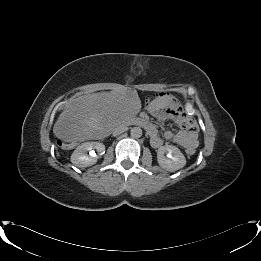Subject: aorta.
I'll return each mask as SVG.
<instances>
[{"label":"aorta","mask_w":261,"mask_h":261,"mask_svg":"<svg viewBox=\"0 0 261 261\" xmlns=\"http://www.w3.org/2000/svg\"><path fill=\"white\" fill-rule=\"evenodd\" d=\"M130 135L132 138H140L142 136V129L140 127H133L130 130Z\"/></svg>","instance_id":"1"}]
</instances>
